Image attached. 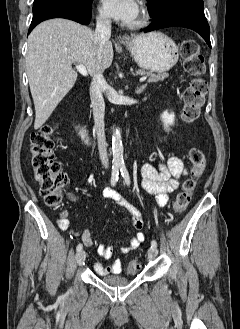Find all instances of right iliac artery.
<instances>
[{
    "label": "right iliac artery",
    "instance_id": "82829eb1",
    "mask_svg": "<svg viewBox=\"0 0 240 329\" xmlns=\"http://www.w3.org/2000/svg\"><path fill=\"white\" fill-rule=\"evenodd\" d=\"M119 177V166H113L112 176H111V185L115 186ZM82 250V244H78L76 247V251L79 252Z\"/></svg>",
    "mask_w": 240,
    "mask_h": 329
}]
</instances>
